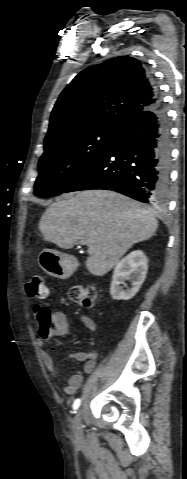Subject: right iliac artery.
<instances>
[{
    "mask_svg": "<svg viewBox=\"0 0 187 479\" xmlns=\"http://www.w3.org/2000/svg\"><path fill=\"white\" fill-rule=\"evenodd\" d=\"M80 403H81V400L80 399H76L73 403V409L76 410L78 409V407L80 406Z\"/></svg>",
    "mask_w": 187,
    "mask_h": 479,
    "instance_id": "obj_1",
    "label": "right iliac artery"
}]
</instances>
